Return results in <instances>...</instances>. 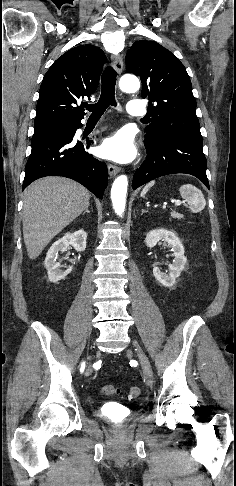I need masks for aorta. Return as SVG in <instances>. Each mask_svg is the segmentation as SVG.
<instances>
[{
  "label": "aorta",
  "instance_id": "1",
  "mask_svg": "<svg viewBox=\"0 0 236 486\" xmlns=\"http://www.w3.org/2000/svg\"><path fill=\"white\" fill-rule=\"evenodd\" d=\"M119 87L123 92L133 93L139 90L140 82L135 76H123L120 79ZM127 187L128 179L126 175L118 176L112 185L111 201L114 211L118 215H122L125 211Z\"/></svg>",
  "mask_w": 236,
  "mask_h": 486
}]
</instances>
